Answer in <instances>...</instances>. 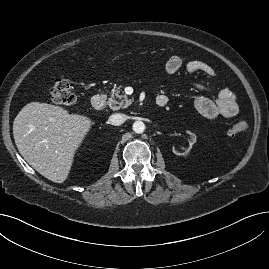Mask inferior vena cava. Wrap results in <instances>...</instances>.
<instances>
[{
	"label": "inferior vena cava",
	"instance_id": "602c4592",
	"mask_svg": "<svg viewBox=\"0 0 269 269\" xmlns=\"http://www.w3.org/2000/svg\"><path fill=\"white\" fill-rule=\"evenodd\" d=\"M108 121L111 125L119 126L126 121V115L120 114V113H115L109 117Z\"/></svg>",
	"mask_w": 269,
	"mask_h": 269
}]
</instances>
